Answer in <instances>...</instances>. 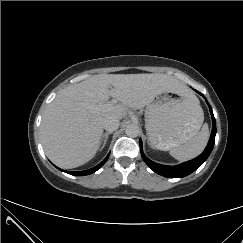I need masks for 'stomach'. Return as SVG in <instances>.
I'll return each mask as SVG.
<instances>
[{
	"instance_id": "1",
	"label": "stomach",
	"mask_w": 243,
	"mask_h": 243,
	"mask_svg": "<svg viewBox=\"0 0 243 243\" xmlns=\"http://www.w3.org/2000/svg\"><path fill=\"white\" fill-rule=\"evenodd\" d=\"M199 106L198 98L191 92L157 96L145 112L146 131L152 146L171 150L196 135L202 120Z\"/></svg>"
}]
</instances>
